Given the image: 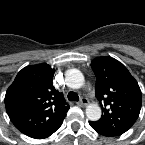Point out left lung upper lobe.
Wrapping results in <instances>:
<instances>
[{
    "label": "left lung upper lobe",
    "instance_id": "left-lung-upper-lobe-1",
    "mask_svg": "<svg viewBox=\"0 0 145 145\" xmlns=\"http://www.w3.org/2000/svg\"><path fill=\"white\" fill-rule=\"evenodd\" d=\"M91 67L96 76L95 94L103 102V115L91 122L98 130L111 136L128 131L141 109V90L128 69L111 57H97Z\"/></svg>",
    "mask_w": 145,
    "mask_h": 145
}]
</instances>
